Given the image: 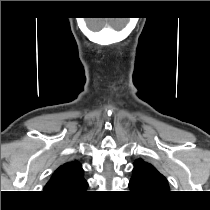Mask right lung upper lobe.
<instances>
[{
    "mask_svg": "<svg viewBox=\"0 0 210 210\" xmlns=\"http://www.w3.org/2000/svg\"><path fill=\"white\" fill-rule=\"evenodd\" d=\"M87 187L81 164L78 161H72L55 170L45 185L44 192L57 198L75 197L82 194Z\"/></svg>",
    "mask_w": 210,
    "mask_h": 210,
    "instance_id": "1",
    "label": "right lung upper lobe"
}]
</instances>
